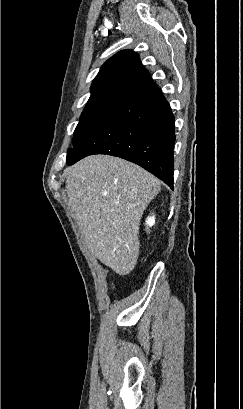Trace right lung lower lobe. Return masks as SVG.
<instances>
[{
  "instance_id": "obj_1",
  "label": "right lung lower lobe",
  "mask_w": 243,
  "mask_h": 409,
  "mask_svg": "<svg viewBox=\"0 0 243 409\" xmlns=\"http://www.w3.org/2000/svg\"><path fill=\"white\" fill-rule=\"evenodd\" d=\"M174 116L155 83L124 100L110 118L67 157L72 165L93 154L136 163L173 189Z\"/></svg>"
}]
</instances>
